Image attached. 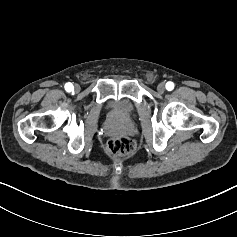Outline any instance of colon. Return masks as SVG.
<instances>
[{"label": "colon", "mask_w": 237, "mask_h": 237, "mask_svg": "<svg viewBox=\"0 0 237 237\" xmlns=\"http://www.w3.org/2000/svg\"><path fill=\"white\" fill-rule=\"evenodd\" d=\"M135 145L132 139L126 136L115 137L108 141L107 152L113 157H125L134 151Z\"/></svg>", "instance_id": "colon-1"}]
</instances>
